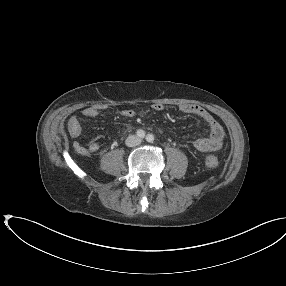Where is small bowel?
<instances>
[{"label": "small bowel", "instance_id": "1", "mask_svg": "<svg viewBox=\"0 0 286 286\" xmlns=\"http://www.w3.org/2000/svg\"><path fill=\"white\" fill-rule=\"evenodd\" d=\"M152 109L156 112H161L164 110V105L155 103L153 104ZM179 109L185 114H193L203 118L210 127L209 137L197 139L194 142L196 149L203 152H212L221 148L225 136L224 129L206 109L191 103H182L179 105ZM101 111L102 107L100 106H89L83 109L82 116L84 118H94L98 116ZM121 115L126 118H132L135 115V111L133 109H124L121 111ZM65 127L69 136L74 139H77L82 135L83 127L77 116L68 117L65 122ZM100 138V136L96 137L86 143L74 142V151L81 156H87L90 153L97 152L100 148Z\"/></svg>", "mask_w": 286, "mask_h": 286}]
</instances>
